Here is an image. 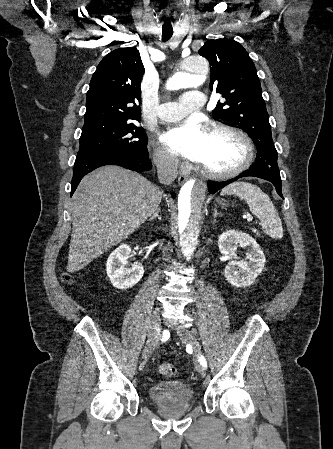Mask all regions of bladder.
I'll return each instance as SVG.
<instances>
[{
    "mask_svg": "<svg viewBox=\"0 0 333 449\" xmlns=\"http://www.w3.org/2000/svg\"><path fill=\"white\" fill-rule=\"evenodd\" d=\"M149 400L157 406L187 405L193 402L194 391L180 380L159 381L149 386Z\"/></svg>",
    "mask_w": 333,
    "mask_h": 449,
    "instance_id": "1",
    "label": "bladder"
}]
</instances>
